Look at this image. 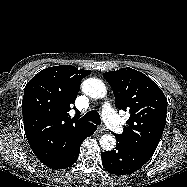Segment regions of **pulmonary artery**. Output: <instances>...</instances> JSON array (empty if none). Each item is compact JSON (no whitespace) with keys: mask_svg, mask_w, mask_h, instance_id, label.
Returning a JSON list of instances; mask_svg holds the SVG:
<instances>
[{"mask_svg":"<svg viewBox=\"0 0 187 187\" xmlns=\"http://www.w3.org/2000/svg\"><path fill=\"white\" fill-rule=\"evenodd\" d=\"M103 116L108 123V125L112 128V130L121 134L123 132V123L121 118L116 114L115 110L112 108L109 102H105L102 106Z\"/></svg>","mask_w":187,"mask_h":187,"instance_id":"e3ab8cb5","label":"pulmonary artery"}]
</instances>
